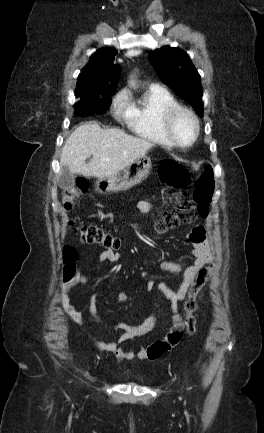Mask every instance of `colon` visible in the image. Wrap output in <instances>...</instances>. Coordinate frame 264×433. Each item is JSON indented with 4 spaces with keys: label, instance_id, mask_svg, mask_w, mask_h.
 Here are the masks:
<instances>
[{
    "label": "colon",
    "instance_id": "1",
    "mask_svg": "<svg viewBox=\"0 0 264 433\" xmlns=\"http://www.w3.org/2000/svg\"><path fill=\"white\" fill-rule=\"evenodd\" d=\"M160 179L167 186L173 189H183L191 185L192 178L186 167L174 162L165 161L160 165ZM87 182L80 179L75 186L68 189L63 198L64 207L71 209L74 201L87 190ZM214 191V176L211 165L207 164L194 181L193 193L188 195L177 192L173 196L174 209L164 212L156 222V231L163 233L170 229L178 228L181 225L192 223L198 215L205 216L209 213V204ZM79 241L83 244L99 245L105 249L117 251L121 248L120 239L95 225H82L76 228ZM64 277L70 278L75 273V262L77 252L72 246H65L63 250ZM212 273V265L209 264L197 273L191 287L188 290L184 303L185 328L188 335L196 331L194 312L197 308L196 298L201 289L205 286Z\"/></svg>",
    "mask_w": 264,
    "mask_h": 433
}]
</instances>
